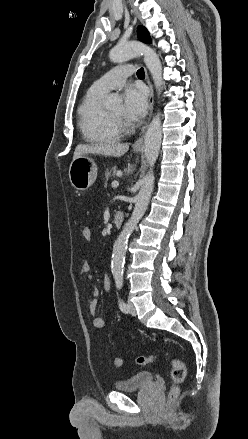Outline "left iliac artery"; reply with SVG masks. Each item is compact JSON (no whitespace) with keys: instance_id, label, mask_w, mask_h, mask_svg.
<instances>
[{"instance_id":"obj_1","label":"left iliac artery","mask_w":248,"mask_h":439,"mask_svg":"<svg viewBox=\"0 0 248 439\" xmlns=\"http://www.w3.org/2000/svg\"><path fill=\"white\" fill-rule=\"evenodd\" d=\"M115 281H116V286L117 288L120 290L123 286V275L122 274H116L115 275ZM119 308L122 312L127 313L129 310L128 305L122 300H119Z\"/></svg>"}]
</instances>
